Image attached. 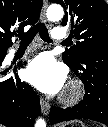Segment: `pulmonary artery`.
I'll return each instance as SVG.
<instances>
[{
	"mask_svg": "<svg viewBox=\"0 0 108 127\" xmlns=\"http://www.w3.org/2000/svg\"><path fill=\"white\" fill-rule=\"evenodd\" d=\"M52 37L55 40H64L67 37V34L63 28H55L52 32Z\"/></svg>",
	"mask_w": 108,
	"mask_h": 127,
	"instance_id": "1",
	"label": "pulmonary artery"
}]
</instances>
